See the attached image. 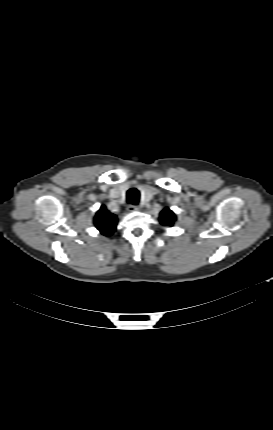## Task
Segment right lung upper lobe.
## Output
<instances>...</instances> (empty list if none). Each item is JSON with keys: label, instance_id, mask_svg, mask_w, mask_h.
<instances>
[{"label": "right lung upper lobe", "instance_id": "cb5924a9", "mask_svg": "<svg viewBox=\"0 0 273 430\" xmlns=\"http://www.w3.org/2000/svg\"><path fill=\"white\" fill-rule=\"evenodd\" d=\"M94 223L103 235L110 236L116 229L117 217L102 206L96 213Z\"/></svg>", "mask_w": 273, "mask_h": 430}]
</instances>
